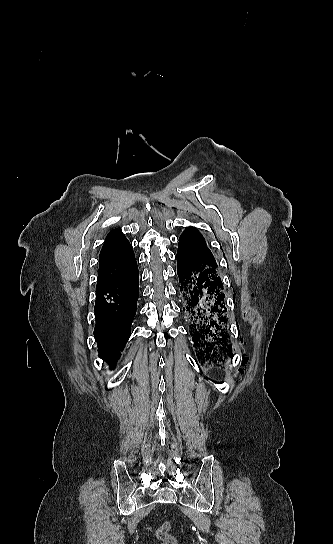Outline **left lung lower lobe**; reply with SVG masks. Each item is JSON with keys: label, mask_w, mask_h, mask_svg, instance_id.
I'll return each mask as SVG.
<instances>
[{"label": "left lung lower lobe", "mask_w": 333, "mask_h": 544, "mask_svg": "<svg viewBox=\"0 0 333 544\" xmlns=\"http://www.w3.org/2000/svg\"><path fill=\"white\" fill-rule=\"evenodd\" d=\"M177 274L183 311L203 362L232 356L224 288L217 266L193 251L178 247Z\"/></svg>", "instance_id": "left-lung-lower-lobe-1"}]
</instances>
